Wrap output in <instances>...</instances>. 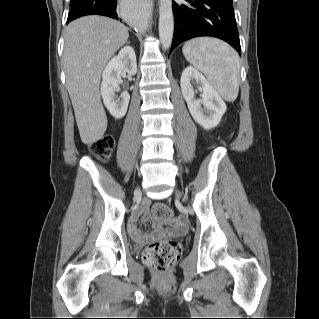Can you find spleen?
I'll return each mask as SVG.
<instances>
[{"label":"spleen","instance_id":"spleen-1","mask_svg":"<svg viewBox=\"0 0 319 319\" xmlns=\"http://www.w3.org/2000/svg\"><path fill=\"white\" fill-rule=\"evenodd\" d=\"M183 55L205 74L211 86L226 101H234L239 92L238 54L228 44L215 38L199 37L187 41Z\"/></svg>","mask_w":319,"mask_h":319}]
</instances>
